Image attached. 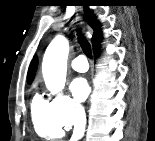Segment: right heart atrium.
Returning <instances> with one entry per match:
<instances>
[{
    "label": "right heart atrium",
    "instance_id": "1",
    "mask_svg": "<svg viewBox=\"0 0 155 141\" xmlns=\"http://www.w3.org/2000/svg\"><path fill=\"white\" fill-rule=\"evenodd\" d=\"M51 104L56 120L65 129L81 123L84 119L83 108L66 95L52 98Z\"/></svg>",
    "mask_w": 155,
    "mask_h": 141
}]
</instances>
